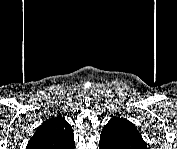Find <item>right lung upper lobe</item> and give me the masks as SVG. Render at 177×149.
<instances>
[{"label": "right lung upper lobe", "mask_w": 177, "mask_h": 149, "mask_svg": "<svg viewBox=\"0 0 177 149\" xmlns=\"http://www.w3.org/2000/svg\"><path fill=\"white\" fill-rule=\"evenodd\" d=\"M74 145L72 127L62 116H58L49 118L37 128L27 148L73 149Z\"/></svg>", "instance_id": "1"}]
</instances>
